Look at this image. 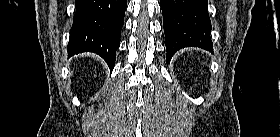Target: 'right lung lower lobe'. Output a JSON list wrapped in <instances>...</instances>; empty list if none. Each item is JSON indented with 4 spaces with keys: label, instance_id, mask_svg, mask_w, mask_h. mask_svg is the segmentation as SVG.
<instances>
[{
    "label": "right lung lower lobe",
    "instance_id": "obj_1",
    "mask_svg": "<svg viewBox=\"0 0 280 137\" xmlns=\"http://www.w3.org/2000/svg\"><path fill=\"white\" fill-rule=\"evenodd\" d=\"M127 0H75L68 54L93 52L112 70L120 44Z\"/></svg>",
    "mask_w": 280,
    "mask_h": 137
}]
</instances>
